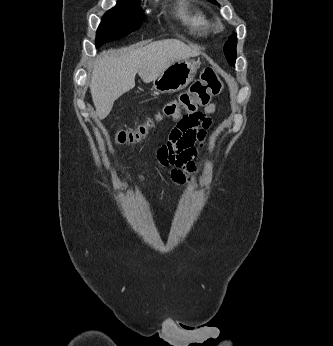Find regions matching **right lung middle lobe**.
Instances as JSON below:
<instances>
[{
  "instance_id": "obj_1",
  "label": "right lung middle lobe",
  "mask_w": 333,
  "mask_h": 346,
  "mask_svg": "<svg viewBox=\"0 0 333 346\" xmlns=\"http://www.w3.org/2000/svg\"><path fill=\"white\" fill-rule=\"evenodd\" d=\"M139 0H118L103 16L96 34V47L120 39L140 28L143 14L136 5Z\"/></svg>"
}]
</instances>
